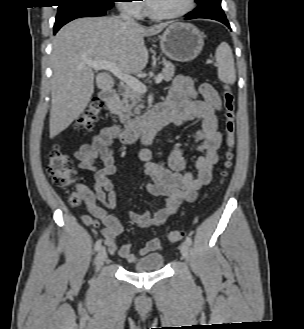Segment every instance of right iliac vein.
I'll return each mask as SVG.
<instances>
[{"instance_id":"obj_1","label":"right iliac vein","mask_w":304,"mask_h":329,"mask_svg":"<svg viewBox=\"0 0 304 329\" xmlns=\"http://www.w3.org/2000/svg\"><path fill=\"white\" fill-rule=\"evenodd\" d=\"M106 257H107L106 248L101 247L98 251L97 258H96L97 269H99L103 265Z\"/></svg>"}]
</instances>
